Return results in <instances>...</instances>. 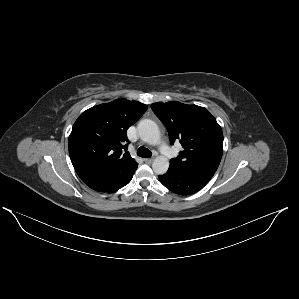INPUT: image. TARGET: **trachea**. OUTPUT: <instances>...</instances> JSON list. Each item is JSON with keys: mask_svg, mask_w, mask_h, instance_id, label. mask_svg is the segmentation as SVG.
<instances>
[{"mask_svg": "<svg viewBox=\"0 0 299 299\" xmlns=\"http://www.w3.org/2000/svg\"><path fill=\"white\" fill-rule=\"evenodd\" d=\"M137 155L143 158H150L152 153L145 147H139Z\"/></svg>", "mask_w": 299, "mask_h": 299, "instance_id": "3493384b", "label": "trachea"}]
</instances>
